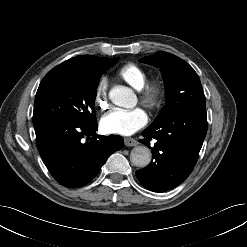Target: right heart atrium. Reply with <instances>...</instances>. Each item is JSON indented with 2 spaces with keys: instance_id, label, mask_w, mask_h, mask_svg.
I'll list each match as a JSON object with an SVG mask.
<instances>
[{
  "instance_id": "obj_1",
  "label": "right heart atrium",
  "mask_w": 247,
  "mask_h": 247,
  "mask_svg": "<svg viewBox=\"0 0 247 247\" xmlns=\"http://www.w3.org/2000/svg\"><path fill=\"white\" fill-rule=\"evenodd\" d=\"M95 104L100 109H105L108 106L107 81H106V79H101L96 86Z\"/></svg>"
}]
</instances>
